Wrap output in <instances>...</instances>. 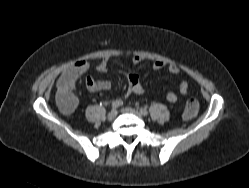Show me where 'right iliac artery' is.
I'll return each instance as SVG.
<instances>
[{
  "mask_svg": "<svg viewBox=\"0 0 249 188\" xmlns=\"http://www.w3.org/2000/svg\"><path fill=\"white\" fill-rule=\"evenodd\" d=\"M122 105H123V101L122 100H115V101L112 102L111 107L113 109H116V108L121 107Z\"/></svg>",
  "mask_w": 249,
  "mask_h": 188,
  "instance_id": "82829eb1",
  "label": "right iliac artery"
}]
</instances>
